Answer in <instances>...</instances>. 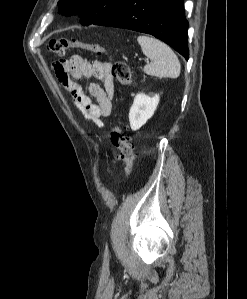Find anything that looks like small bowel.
Segmentation results:
<instances>
[{
  "mask_svg": "<svg viewBox=\"0 0 247 299\" xmlns=\"http://www.w3.org/2000/svg\"><path fill=\"white\" fill-rule=\"evenodd\" d=\"M110 65L101 60L89 61L80 56L60 59L54 63L58 81L67 89L74 104L85 118L98 127L103 126L102 119L110 116L114 97V82L110 75ZM94 77L101 82H88V93L81 82Z\"/></svg>",
  "mask_w": 247,
  "mask_h": 299,
  "instance_id": "obj_1",
  "label": "small bowel"
}]
</instances>
